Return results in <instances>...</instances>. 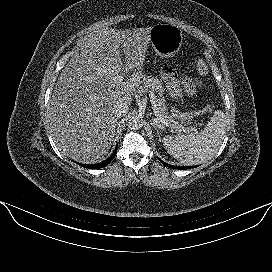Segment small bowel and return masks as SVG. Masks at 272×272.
Instances as JSON below:
<instances>
[{"instance_id":"c3829d8e","label":"small bowel","mask_w":272,"mask_h":272,"mask_svg":"<svg viewBox=\"0 0 272 272\" xmlns=\"http://www.w3.org/2000/svg\"><path fill=\"white\" fill-rule=\"evenodd\" d=\"M164 78L168 91L174 99H180L184 95H193L196 92L197 83L195 81L180 79L170 68H165Z\"/></svg>"}]
</instances>
